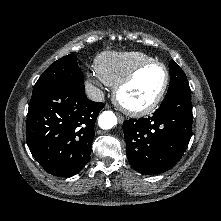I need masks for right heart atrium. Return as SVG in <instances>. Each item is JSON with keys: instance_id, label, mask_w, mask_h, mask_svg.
<instances>
[{"instance_id": "right-heart-atrium-1", "label": "right heart atrium", "mask_w": 221, "mask_h": 221, "mask_svg": "<svg viewBox=\"0 0 221 221\" xmlns=\"http://www.w3.org/2000/svg\"><path fill=\"white\" fill-rule=\"evenodd\" d=\"M86 88L92 95L97 93V81L94 77H88L86 81Z\"/></svg>"}]
</instances>
